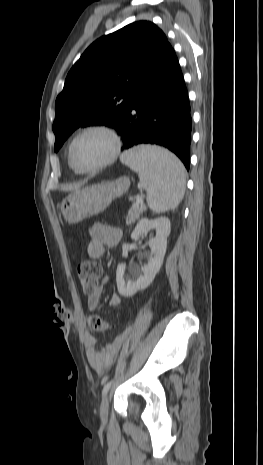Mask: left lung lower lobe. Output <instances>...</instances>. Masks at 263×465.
I'll return each mask as SVG.
<instances>
[{
  "label": "left lung lower lobe",
  "instance_id": "obj_1",
  "mask_svg": "<svg viewBox=\"0 0 263 465\" xmlns=\"http://www.w3.org/2000/svg\"><path fill=\"white\" fill-rule=\"evenodd\" d=\"M192 120L178 59L168 43L136 82L119 128L122 150L150 143L168 148L190 167Z\"/></svg>",
  "mask_w": 263,
  "mask_h": 465
}]
</instances>
